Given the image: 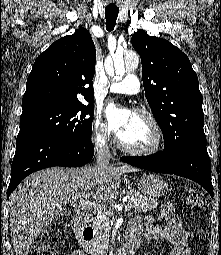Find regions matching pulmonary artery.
I'll use <instances>...</instances> for the list:
<instances>
[{
  "label": "pulmonary artery",
  "instance_id": "pulmonary-artery-1",
  "mask_svg": "<svg viewBox=\"0 0 221 255\" xmlns=\"http://www.w3.org/2000/svg\"><path fill=\"white\" fill-rule=\"evenodd\" d=\"M109 90L111 93L137 94L140 90V82L135 75L130 74L121 81L112 83Z\"/></svg>",
  "mask_w": 221,
  "mask_h": 255
}]
</instances>
